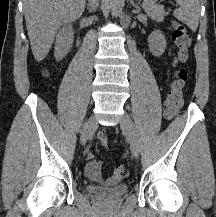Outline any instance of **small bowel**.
I'll list each match as a JSON object with an SVG mask.
<instances>
[{
  "instance_id": "obj_1",
  "label": "small bowel",
  "mask_w": 216,
  "mask_h": 217,
  "mask_svg": "<svg viewBox=\"0 0 216 217\" xmlns=\"http://www.w3.org/2000/svg\"><path fill=\"white\" fill-rule=\"evenodd\" d=\"M174 62H176L174 60ZM87 164L85 168L86 177L92 182L102 184V185H113L117 182L114 177L108 179H103L101 176V165L95 160L93 153H87Z\"/></svg>"
}]
</instances>
